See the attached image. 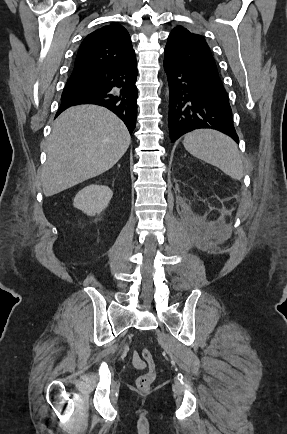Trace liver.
Masks as SVG:
<instances>
[{
	"label": "liver",
	"instance_id": "6515ba94",
	"mask_svg": "<svg viewBox=\"0 0 287 434\" xmlns=\"http://www.w3.org/2000/svg\"><path fill=\"white\" fill-rule=\"evenodd\" d=\"M130 143L124 123L106 108L78 105L65 110L48 139L41 172L44 195L53 196L108 171Z\"/></svg>",
	"mask_w": 287,
	"mask_h": 434
}]
</instances>
